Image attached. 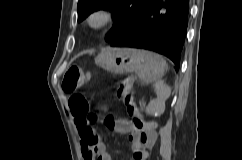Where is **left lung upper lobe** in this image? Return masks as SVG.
<instances>
[{"label":"left lung upper lobe","instance_id":"1","mask_svg":"<svg viewBox=\"0 0 242 160\" xmlns=\"http://www.w3.org/2000/svg\"><path fill=\"white\" fill-rule=\"evenodd\" d=\"M148 0H79L78 21L85 19L90 13L104 9L113 14L114 25L106 36L108 42L124 36L139 18Z\"/></svg>","mask_w":242,"mask_h":160}]
</instances>
